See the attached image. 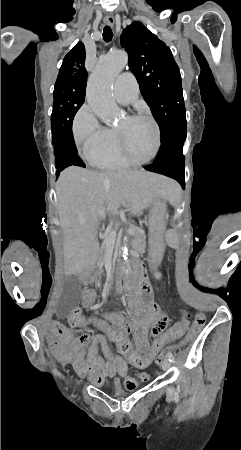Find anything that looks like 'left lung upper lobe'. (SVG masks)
Masks as SVG:
<instances>
[{
	"mask_svg": "<svg viewBox=\"0 0 241 450\" xmlns=\"http://www.w3.org/2000/svg\"><path fill=\"white\" fill-rule=\"evenodd\" d=\"M121 45L163 139L174 127L186 123L181 75L172 52L137 21L123 31Z\"/></svg>",
	"mask_w": 241,
	"mask_h": 450,
	"instance_id": "1",
	"label": "left lung upper lobe"
}]
</instances>
